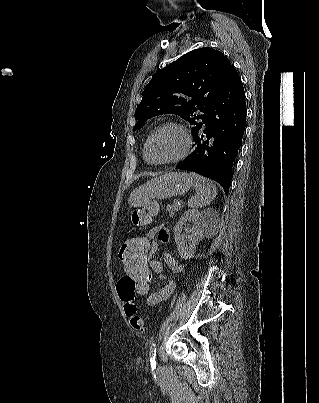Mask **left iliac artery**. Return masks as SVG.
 Returning <instances> with one entry per match:
<instances>
[{"instance_id":"obj_1","label":"left iliac artery","mask_w":319,"mask_h":403,"mask_svg":"<svg viewBox=\"0 0 319 403\" xmlns=\"http://www.w3.org/2000/svg\"><path fill=\"white\" fill-rule=\"evenodd\" d=\"M156 350H157V348H156V343H152V345H151V347H150V353H149V356H150V363H151V368H152V369H155V368H156V360H155V357H156Z\"/></svg>"}]
</instances>
